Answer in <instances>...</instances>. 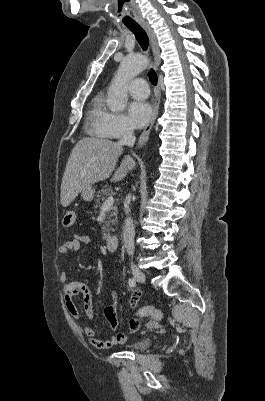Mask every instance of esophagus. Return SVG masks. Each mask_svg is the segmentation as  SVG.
Wrapping results in <instances>:
<instances>
[{
    "mask_svg": "<svg viewBox=\"0 0 265 401\" xmlns=\"http://www.w3.org/2000/svg\"><path fill=\"white\" fill-rule=\"evenodd\" d=\"M138 23L141 25V27L144 28L145 32L147 33V35L149 37V40L151 43V48H152V53H153V57H154V67H155V70H158L159 66L161 64V56H160V49H159V46L157 43L156 35H155L154 31L152 30V28L149 26V24L145 20H138ZM160 98H161L160 85L158 83V85L156 87V91H155V102H154L152 116L138 139V143H137L138 147L145 145L148 140L150 131H151L153 124L158 115Z\"/></svg>",
    "mask_w": 265,
    "mask_h": 401,
    "instance_id": "esophagus-1",
    "label": "esophagus"
}]
</instances>
